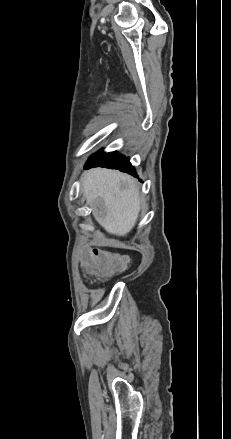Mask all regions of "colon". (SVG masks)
I'll use <instances>...</instances> for the list:
<instances>
[{
    "mask_svg": "<svg viewBox=\"0 0 231 439\" xmlns=\"http://www.w3.org/2000/svg\"><path fill=\"white\" fill-rule=\"evenodd\" d=\"M83 254L86 258L81 259V268H87L96 276H110L126 267L125 259L97 251L96 246L85 248Z\"/></svg>",
    "mask_w": 231,
    "mask_h": 439,
    "instance_id": "5ec220e1",
    "label": "colon"
}]
</instances>
